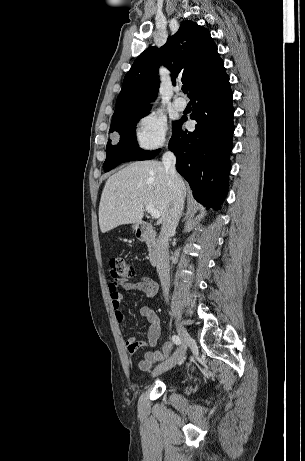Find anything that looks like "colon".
<instances>
[{
    "instance_id": "obj_1",
    "label": "colon",
    "mask_w": 305,
    "mask_h": 461,
    "mask_svg": "<svg viewBox=\"0 0 305 461\" xmlns=\"http://www.w3.org/2000/svg\"><path fill=\"white\" fill-rule=\"evenodd\" d=\"M110 273L115 280H127L134 275L132 266L121 256L110 259Z\"/></svg>"
}]
</instances>
